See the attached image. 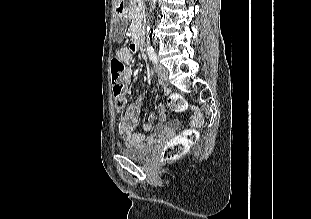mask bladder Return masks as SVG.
I'll list each match as a JSON object with an SVG mask.
<instances>
[{"label":"bladder","instance_id":"bladder-1","mask_svg":"<svg viewBox=\"0 0 311 219\" xmlns=\"http://www.w3.org/2000/svg\"><path fill=\"white\" fill-rule=\"evenodd\" d=\"M118 151L122 156L131 160H145L150 156L152 149L145 145H129L119 146Z\"/></svg>","mask_w":311,"mask_h":219}]
</instances>
